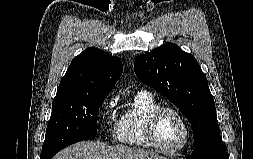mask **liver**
<instances>
[{
	"label": "liver",
	"mask_w": 253,
	"mask_h": 159,
	"mask_svg": "<svg viewBox=\"0 0 253 159\" xmlns=\"http://www.w3.org/2000/svg\"><path fill=\"white\" fill-rule=\"evenodd\" d=\"M53 159H167L151 151L127 146H109L101 142L82 141L72 144Z\"/></svg>",
	"instance_id": "1"
}]
</instances>
